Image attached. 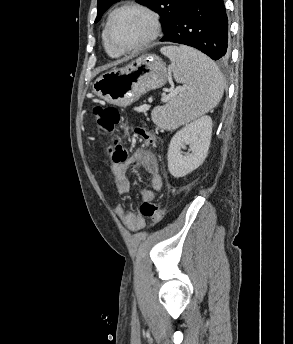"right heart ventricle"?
Instances as JSON below:
<instances>
[{"instance_id":"1","label":"right heart ventricle","mask_w":293,"mask_h":344,"mask_svg":"<svg viewBox=\"0 0 293 344\" xmlns=\"http://www.w3.org/2000/svg\"><path fill=\"white\" fill-rule=\"evenodd\" d=\"M102 39H103L104 48H105L107 54H108L110 57H112V58H118V57L121 56V54L116 53L115 51H113V50L107 45V43H106V41H105V37H104V31H103V33H102Z\"/></svg>"}]
</instances>
